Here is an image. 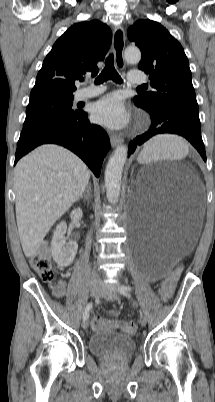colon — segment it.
I'll use <instances>...</instances> for the list:
<instances>
[{
  "label": "colon",
  "instance_id": "5ec220e1",
  "mask_svg": "<svg viewBox=\"0 0 215 402\" xmlns=\"http://www.w3.org/2000/svg\"><path fill=\"white\" fill-rule=\"evenodd\" d=\"M32 266L44 281L50 282L54 278L50 259L46 252L38 253L32 260ZM179 275L180 270H176L162 283V289H159L158 291L159 298H172L176 280L178 279ZM116 325H118L126 334H135L137 331V326L133 322H121L119 324H115L114 322L102 318H95L92 320V329L95 331L112 328Z\"/></svg>",
  "mask_w": 215,
  "mask_h": 402
}]
</instances>
